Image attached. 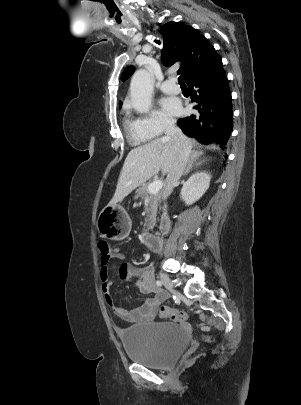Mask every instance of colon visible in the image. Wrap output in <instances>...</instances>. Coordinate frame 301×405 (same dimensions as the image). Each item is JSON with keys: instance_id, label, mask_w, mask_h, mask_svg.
Returning a JSON list of instances; mask_svg holds the SVG:
<instances>
[{"instance_id": "obj_1", "label": "colon", "mask_w": 301, "mask_h": 405, "mask_svg": "<svg viewBox=\"0 0 301 405\" xmlns=\"http://www.w3.org/2000/svg\"><path fill=\"white\" fill-rule=\"evenodd\" d=\"M98 248L101 253V256L107 257L110 252V246L106 241H99ZM159 315L162 318H168L175 322H185L188 319L186 312L178 309L169 308L167 306H162L159 310ZM207 341H210L209 337L205 338Z\"/></svg>"}]
</instances>
